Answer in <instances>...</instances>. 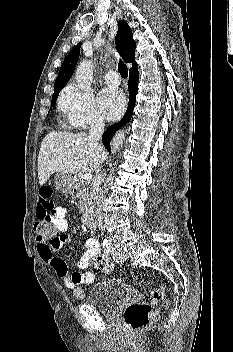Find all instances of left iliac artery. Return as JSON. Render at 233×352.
I'll use <instances>...</instances> for the list:
<instances>
[{
    "instance_id": "1",
    "label": "left iliac artery",
    "mask_w": 233,
    "mask_h": 352,
    "mask_svg": "<svg viewBox=\"0 0 233 352\" xmlns=\"http://www.w3.org/2000/svg\"><path fill=\"white\" fill-rule=\"evenodd\" d=\"M111 254L113 256V259L117 262V263H122V258L120 256V254L116 251V248H112L111 250Z\"/></svg>"
}]
</instances>
